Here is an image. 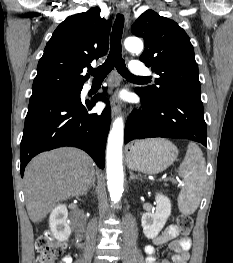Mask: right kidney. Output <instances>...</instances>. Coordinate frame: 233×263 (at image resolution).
Here are the masks:
<instances>
[{"label":"right kidney","instance_id":"right-kidney-1","mask_svg":"<svg viewBox=\"0 0 233 263\" xmlns=\"http://www.w3.org/2000/svg\"><path fill=\"white\" fill-rule=\"evenodd\" d=\"M67 217L68 211L65 204L56 206L50 214L49 226L53 236L59 241H66L71 234Z\"/></svg>","mask_w":233,"mask_h":263}]
</instances>
